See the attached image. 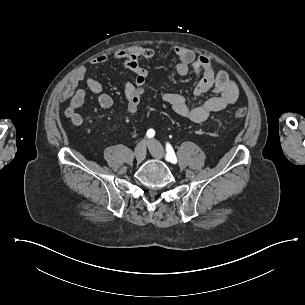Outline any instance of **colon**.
Segmentation results:
<instances>
[{"label":"colon","instance_id":"obj_1","mask_svg":"<svg viewBox=\"0 0 305 305\" xmlns=\"http://www.w3.org/2000/svg\"><path fill=\"white\" fill-rule=\"evenodd\" d=\"M138 92H141V88H138ZM128 98L130 100L129 106L131 109L136 110L139 108L140 103L138 98H140V94L135 91L129 93ZM247 115V109L244 107L238 108L234 111V116L236 118H241ZM129 116H132V112H129Z\"/></svg>","mask_w":305,"mask_h":305}]
</instances>
